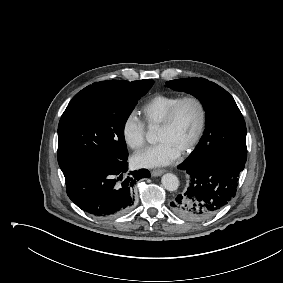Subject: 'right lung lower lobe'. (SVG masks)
Segmentation results:
<instances>
[{"instance_id": "right-lung-lower-lobe-1", "label": "right lung lower lobe", "mask_w": 283, "mask_h": 283, "mask_svg": "<svg viewBox=\"0 0 283 283\" xmlns=\"http://www.w3.org/2000/svg\"><path fill=\"white\" fill-rule=\"evenodd\" d=\"M127 170V157H97L76 163L63 170L67 195L80 209L96 217L125 214L134 205L136 182L150 177L146 169Z\"/></svg>"}]
</instances>
